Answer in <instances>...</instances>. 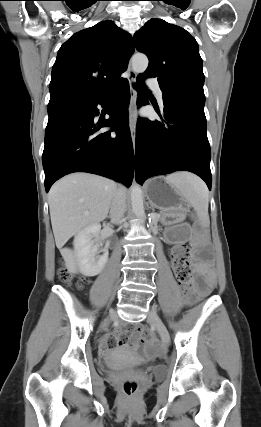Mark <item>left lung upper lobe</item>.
I'll use <instances>...</instances> for the list:
<instances>
[{"label": "left lung upper lobe", "instance_id": "obj_1", "mask_svg": "<svg viewBox=\"0 0 261 427\" xmlns=\"http://www.w3.org/2000/svg\"><path fill=\"white\" fill-rule=\"evenodd\" d=\"M134 44L149 58L140 79L157 77L163 93L186 91L205 97L198 43L185 29L152 18L134 35Z\"/></svg>", "mask_w": 261, "mask_h": 427}]
</instances>
